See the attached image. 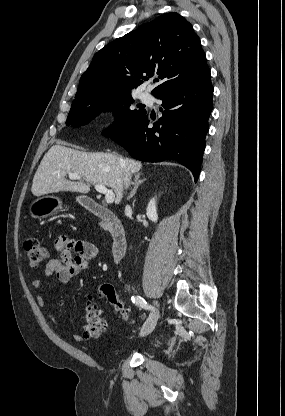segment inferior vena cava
Listing matches in <instances>:
<instances>
[{"mask_svg": "<svg viewBox=\"0 0 285 416\" xmlns=\"http://www.w3.org/2000/svg\"><path fill=\"white\" fill-rule=\"evenodd\" d=\"M120 162H123V160H121V158H120ZM124 172H125V174H124V188H125V190H127V188H129V184H130V180H131V174H130V170H128V168H125Z\"/></svg>", "mask_w": 285, "mask_h": 416, "instance_id": "602c4592", "label": "inferior vena cava"}]
</instances>
